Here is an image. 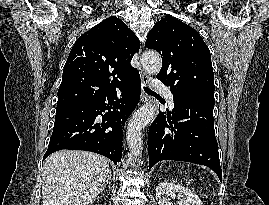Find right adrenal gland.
I'll return each instance as SVG.
<instances>
[{
	"mask_svg": "<svg viewBox=\"0 0 269 205\" xmlns=\"http://www.w3.org/2000/svg\"><path fill=\"white\" fill-rule=\"evenodd\" d=\"M107 184H109V185L111 184V172L110 171L108 172V177L103 185L102 191L105 189Z\"/></svg>",
	"mask_w": 269,
	"mask_h": 205,
	"instance_id": "obj_1",
	"label": "right adrenal gland"
}]
</instances>
